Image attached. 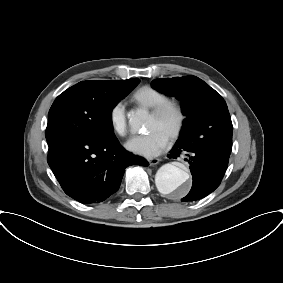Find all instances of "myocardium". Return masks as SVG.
Returning a JSON list of instances; mask_svg holds the SVG:
<instances>
[{
  "label": "myocardium",
  "mask_w": 283,
  "mask_h": 283,
  "mask_svg": "<svg viewBox=\"0 0 283 283\" xmlns=\"http://www.w3.org/2000/svg\"><path fill=\"white\" fill-rule=\"evenodd\" d=\"M170 111L176 114V124L168 139L175 140L182 133L187 121V115L182 103L176 99L169 98L152 108L150 114L154 117H161Z\"/></svg>",
  "instance_id": "1"
}]
</instances>
